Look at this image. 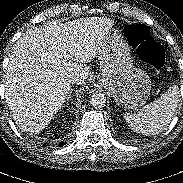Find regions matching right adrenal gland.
<instances>
[{
    "label": "right adrenal gland",
    "mask_w": 183,
    "mask_h": 183,
    "mask_svg": "<svg viewBox=\"0 0 183 183\" xmlns=\"http://www.w3.org/2000/svg\"><path fill=\"white\" fill-rule=\"evenodd\" d=\"M71 93H72V89L69 91L67 97H66V100L67 101H71Z\"/></svg>",
    "instance_id": "obj_1"
}]
</instances>
